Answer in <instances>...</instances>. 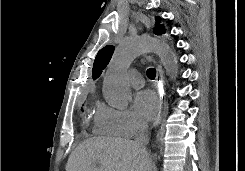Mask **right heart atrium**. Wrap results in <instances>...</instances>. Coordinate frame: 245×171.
<instances>
[{"label": "right heart atrium", "mask_w": 245, "mask_h": 171, "mask_svg": "<svg viewBox=\"0 0 245 171\" xmlns=\"http://www.w3.org/2000/svg\"><path fill=\"white\" fill-rule=\"evenodd\" d=\"M145 127V122L131 110L101 104L95 114V130L99 134L132 137Z\"/></svg>", "instance_id": "right-heart-atrium-1"}]
</instances>
